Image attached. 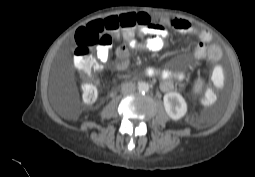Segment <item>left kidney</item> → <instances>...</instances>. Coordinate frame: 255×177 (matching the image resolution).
Wrapping results in <instances>:
<instances>
[{"instance_id": "1", "label": "left kidney", "mask_w": 255, "mask_h": 177, "mask_svg": "<svg viewBox=\"0 0 255 177\" xmlns=\"http://www.w3.org/2000/svg\"><path fill=\"white\" fill-rule=\"evenodd\" d=\"M164 107L168 116L173 120H178L187 112V104L184 98L177 92H169L163 98Z\"/></svg>"}]
</instances>
